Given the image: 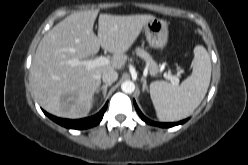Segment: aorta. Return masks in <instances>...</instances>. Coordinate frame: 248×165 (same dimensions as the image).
Segmentation results:
<instances>
[{
    "instance_id": "762f6f07",
    "label": "aorta",
    "mask_w": 248,
    "mask_h": 165,
    "mask_svg": "<svg viewBox=\"0 0 248 165\" xmlns=\"http://www.w3.org/2000/svg\"><path fill=\"white\" fill-rule=\"evenodd\" d=\"M121 89L124 93H133L134 90H135V84L132 82V81H124L122 84H121Z\"/></svg>"
}]
</instances>
